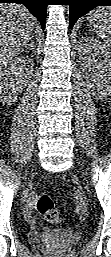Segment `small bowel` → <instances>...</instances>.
<instances>
[{"label": "small bowel", "instance_id": "1", "mask_svg": "<svg viewBox=\"0 0 111 257\" xmlns=\"http://www.w3.org/2000/svg\"><path fill=\"white\" fill-rule=\"evenodd\" d=\"M33 209H34V201H30L27 206V212H28L31 220H34V217L32 216Z\"/></svg>", "mask_w": 111, "mask_h": 257}]
</instances>
